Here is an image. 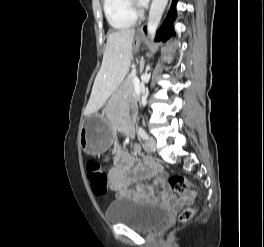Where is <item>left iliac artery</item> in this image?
<instances>
[{
  "label": "left iliac artery",
  "mask_w": 264,
  "mask_h": 247,
  "mask_svg": "<svg viewBox=\"0 0 264 247\" xmlns=\"http://www.w3.org/2000/svg\"><path fill=\"white\" fill-rule=\"evenodd\" d=\"M138 134L143 140H147L148 139L147 132L145 131L144 128L138 127Z\"/></svg>",
  "instance_id": "obj_1"
}]
</instances>
